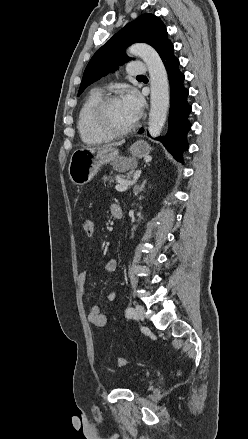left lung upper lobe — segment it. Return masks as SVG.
Returning a JSON list of instances; mask_svg holds the SVG:
<instances>
[{"mask_svg": "<svg viewBox=\"0 0 248 439\" xmlns=\"http://www.w3.org/2000/svg\"><path fill=\"white\" fill-rule=\"evenodd\" d=\"M136 42L151 45L159 55L171 43L167 37L165 25L158 17L152 14L139 16L125 25L95 52L84 71L78 96L91 83L129 60L125 49Z\"/></svg>", "mask_w": 248, "mask_h": 439, "instance_id": "5c2ea615", "label": "left lung upper lobe"}]
</instances>
